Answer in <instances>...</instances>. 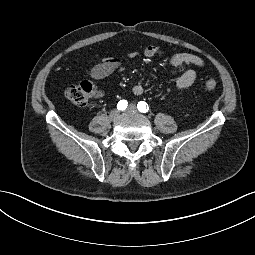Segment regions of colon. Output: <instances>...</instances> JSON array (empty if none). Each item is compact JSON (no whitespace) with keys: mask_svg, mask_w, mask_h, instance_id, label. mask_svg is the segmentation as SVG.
Wrapping results in <instances>:
<instances>
[{"mask_svg":"<svg viewBox=\"0 0 255 255\" xmlns=\"http://www.w3.org/2000/svg\"><path fill=\"white\" fill-rule=\"evenodd\" d=\"M204 87L208 91H212L217 87L214 79H208L204 83ZM94 93V88L89 82H81L66 88V98L76 106H86Z\"/></svg>","mask_w":255,"mask_h":255,"instance_id":"1","label":"colon"}]
</instances>
